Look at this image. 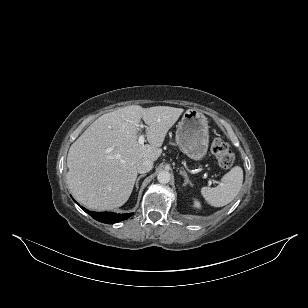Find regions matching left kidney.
<instances>
[{
	"label": "left kidney",
	"mask_w": 308,
	"mask_h": 308,
	"mask_svg": "<svg viewBox=\"0 0 308 308\" xmlns=\"http://www.w3.org/2000/svg\"><path fill=\"white\" fill-rule=\"evenodd\" d=\"M194 206L197 207V208H200L201 207V204L198 200H195L194 201Z\"/></svg>",
	"instance_id": "1"
}]
</instances>
